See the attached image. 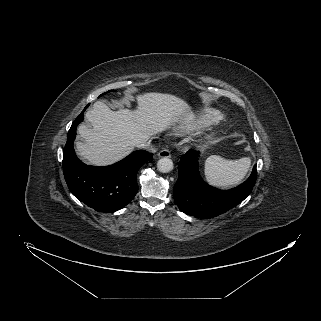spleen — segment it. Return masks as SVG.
Returning a JSON list of instances; mask_svg holds the SVG:
<instances>
[{"label": "spleen", "instance_id": "spleen-1", "mask_svg": "<svg viewBox=\"0 0 321 321\" xmlns=\"http://www.w3.org/2000/svg\"><path fill=\"white\" fill-rule=\"evenodd\" d=\"M251 165V159L226 160L213 155L205 161V177L209 184L216 187H230L239 184Z\"/></svg>", "mask_w": 321, "mask_h": 321}]
</instances>
